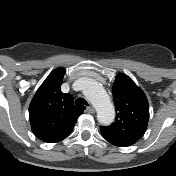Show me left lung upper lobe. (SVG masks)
<instances>
[{"instance_id": "obj_1", "label": "left lung upper lobe", "mask_w": 176, "mask_h": 176, "mask_svg": "<svg viewBox=\"0 0 176 176\" xmlns=\"http://www.w3.org/2000/svg\"><path fill=\"white\" fill-rule=\"evenodd\" d=\"M116 109L115 122L101 127V134L130 146L145 133L149 119V105L143 91L125 74H117L113 84Z\"/></svg>"}]
</instances>
